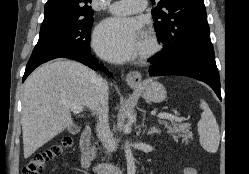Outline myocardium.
Listing matches in <instances>:
<instances>
[{
  "label": "myocardium",
  "mask_w": 249,
  "mask_h": 174,
  "mask_svg": "<svg viewBox=\"0 0 249 174\" xmlns=\"http://www.w3.org/2000/svg\"><path fill=\"white\" fill-rule=\"evenodd\" d=\"M161 50V44L156 35L149 31L145 36L144 45L140 49L139 57L141 60H146L156 55Z\"/></svg>",
  "instance_id": "obj_1"
}]
</instances>
